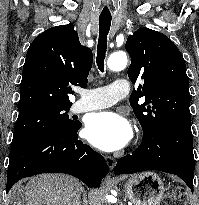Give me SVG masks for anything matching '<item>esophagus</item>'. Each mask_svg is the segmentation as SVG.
Returning a JSON list of instances; mask_svg holds the SVG:
<instances>
[{"label": "esophagus", "mask_w": 199, "mask_h": 205, "mask_svg": "<svg viewBox=\"0 0 199 205\" xmlns=\"http://www.w3.org/2000/svg\"><path fill=\"white\" fill-rule=\"evenodd\" d=\"M106 163L108 165V167L112 170L115 167L116 161L114 158H112L111 156H106L105 157Z\"/></svg>", "instance_id": "obj_1"}]
</instances>
